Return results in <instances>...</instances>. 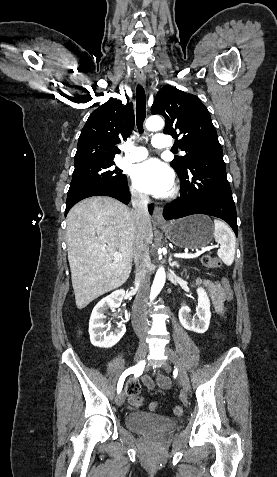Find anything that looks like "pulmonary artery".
<instances>
[{
	"instance_id": "1",
	"label": "pulmonary artery",
	"mask_w": 277,
	"mask_h": 477,
	"mask_svg": "<svg viewBox=\"0 0 277 477\" xmlns=\"http://www.w3.org/2000/svg\"><path fill=\"white\" fill-rule=\"evenodd\" d=\"M152 145L156 148H169L171 142L168 140L167 136L163 134H156L153 137ZM130 153L125 157L127 161L138 162L145 159L148 155L145 147H131Z\"/></svg>"
}]
</instances>
